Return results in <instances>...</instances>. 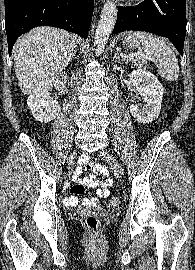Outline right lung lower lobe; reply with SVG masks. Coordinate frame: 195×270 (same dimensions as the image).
<instances>
[{
    "label": "right lung lower lobe",
    "mask_w": 195,
    "mask_h": 270,
    "mask_svg": "<svg viewBox=\"0 0 195 270\" xmlns=\"http://www.w3.org/2000/svg\"><path fill=\"white\" fill-rule=\"evenodd\" d=\"M8 53L17 38L37 26H53L86 38L94 0H4Z\"/></svg>",
    "instance_id": "1"
}]
</instances>
